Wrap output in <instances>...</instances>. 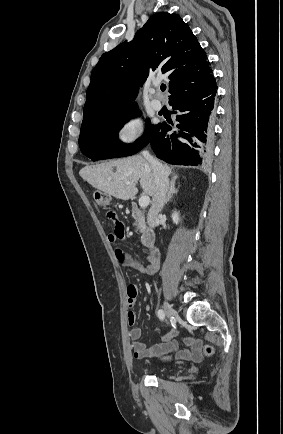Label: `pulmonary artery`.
I'll return each instance as SVG.
<instances>
[{
  "label": "pulmonary artery",
  "instance_id": "pulmonary-artery-1",
  "mask_svg": "<svg viewBox=\"0 0 283 434\" xmlns=\"http://www.w3.org/2000/svg\"><path fill=\"white\" fill-rule=\"evenodd\" d=\"M151 93L155 95V97L151 101V105L153 109H155L156 111H160L163 107V103L161 99L157 97V95L159 94V86L157 84L153 86Z\"/></svg>",
  "mask_w": 283,
  "mask_h": 434
}]
</instances>
